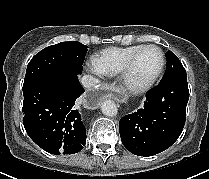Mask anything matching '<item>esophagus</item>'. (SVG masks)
Here are the masks:
<instances>
[{"mask_svg":"<svg viewBox=\"0 0 209 179\" xmlns=\"http://www.w3.org/2000/svg\"><path fill=\"white\" fill-rule=\"evenodd\" d=\"M130 95L124 90H118L115 86H110L108 83H99L95 88H91L84 97V102L89 107H94L97 104L108 100L128 101Z\"/></svg>","mask_w":209,"mask_h":179,"instance_id":"esophagus-1","label":"esophagus"}]
</instances>
